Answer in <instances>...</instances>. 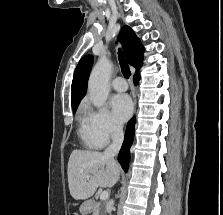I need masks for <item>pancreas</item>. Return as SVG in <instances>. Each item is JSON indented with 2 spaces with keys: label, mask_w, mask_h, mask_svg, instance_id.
<instances>
[{
  "label": "pancreas",
  "mask_w": 223,
  "mask_h": 215,
  "mask_svg": "<svg viewBox=\"0 0 223 215\" xmlns=\"http://www.w3.org/2000/svg\"><path fill=\"white\" fill-rule=\"evenodd\" d=\"M97 206L95 207V209L97 210L95 213L93 212L92 213V215H99V211H100V209H101V207H102V205H101V201H96V203H95Z\"/></svg>",
  "instance_id": "1"
}]
</instances>
